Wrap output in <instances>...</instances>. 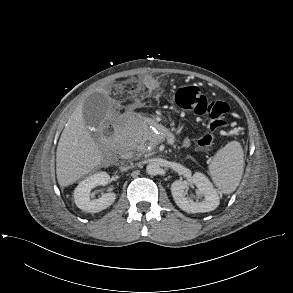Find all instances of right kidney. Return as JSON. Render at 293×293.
<instances>
[{
	"mask_svg": "<svg viewBox=\"0 0 293 293\" xmlns=\"http://www.w3.org/2000/svg\"><path fill=\"white\" fill-rule=\"evenodd\" d=\"M110 176L106 172L95 173L81 181L74 190V201L78 208L83 211L96 213L111 206L116 194L113 192L105 193L98 199H91V191L99 185L109 183Z\"/></svg>",
	"mask_w": 293,
	"mask_h": 293,
	"instance_id": "ca27d5eb",
	"label": "right kidney"
}]
</instances>
